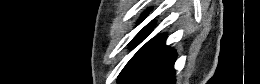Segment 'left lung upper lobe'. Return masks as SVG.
<instances>
[{"label": "left lung upper lobe", "instance_id": "left-lung-upper-lobe-1", "mask_svg": "<svg viewBox=\"0 0 260 84\" xmlns=\"http://www.w3.org/2000/svg\"><path fill=\"white\" fill-rule=\"evenodd\" d=\"M146 16V13L143 15V17H145Z\"/></svg>", "mask_w": 260, "mask_h": 84}]
</instances>
